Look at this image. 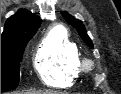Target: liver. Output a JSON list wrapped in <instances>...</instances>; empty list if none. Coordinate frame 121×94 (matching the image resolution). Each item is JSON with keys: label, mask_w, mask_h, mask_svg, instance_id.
<instances>
[{"label": "liver", "mask_w": 121, "mask_h": 94, "mask_svg": "<svg viewBox=\"0 0 121 94\" xmlns=\"http://www.w3.org/2000/svg\"><path fill=\"white\" fill-rule=\"evenodd\" d=\"M26 94H58V93L53 92V91H45V92H41V93H26Z\"/></svg>", "instance_id": "obj_1"}]
</instances>
